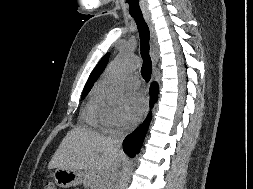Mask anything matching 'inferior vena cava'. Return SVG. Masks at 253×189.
Listing matches in <instances>:
<instances>
[{
    "label": "inferior vena cava",
    "mask_w": 253,
    "mask_h": 189,
    "mask_svg": "<svg viewBox=\"0 0 253 189\" xmlns=\"http://www.w3.org/2000/svg\"><path fill=\"white\" fill-rule=\"evenodd\" d=\"M124 138V134L119 132L118 134H116V136H114L113 138H110V143L111 146L113 147V149L118 152V156L120 158H122V163H127V158H125V151L121 149L122 146V141ZM121 164H116L109 172L108 176L106 177V179L104 180V185L108 186L109 189H113L114 188V184L117 180L118 174H119V168H120Z\"/></svg>",
    "instance_id": "1"
}]
</instances>
